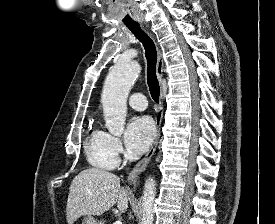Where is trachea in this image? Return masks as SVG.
Here are the masks:
<instances>
[{"mask_svg": "<svg viewBox=\"0 0 275 224\" xmlns=\"http://www.w3.org/2000/svg\"><path fill=\"white\" fill-rule=\"evenodd\" d=\"M135 37L143 44L147 59V84L150 94L155 102H159L160 87L156 75L157 51L153 40L141 29L139 25L128 26Z\"/></svg>", "mask_w": 275, "mask_h": 224, "instance_id": "obj_1", "label": "trachea"}]
</instances>
